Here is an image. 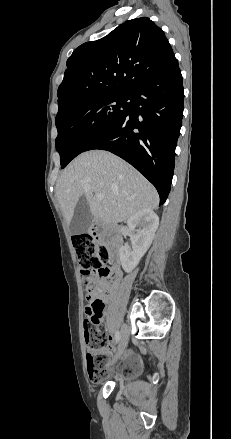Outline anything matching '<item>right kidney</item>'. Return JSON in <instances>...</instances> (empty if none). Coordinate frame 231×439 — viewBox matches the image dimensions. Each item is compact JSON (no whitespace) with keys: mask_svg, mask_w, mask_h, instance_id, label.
<instances>
[{"mask_svg":"<svg viewBox=\"0 0 231 439\" xmlns=\"http://www.w3.org/2000/svg\"><path fill=\"white\" fill-rule=\"evenodd\" d=\"M127 225L132 230L130 235L132 250L122 246L119 256L122 268L129 273L149 249L159 225V218L153 210L143 209L133 214L128 219Z\"/></svg>","mask_w":231,"mask_h":439,"instance_id":"ca27d5eb","label":"right kidney"}]
</instances>
